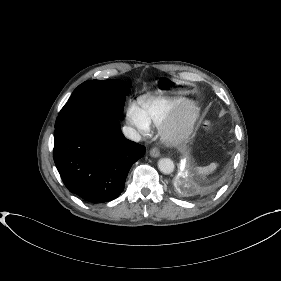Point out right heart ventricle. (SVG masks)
Wrapping results in <instances>:
<instances>
[{
    "instance_id": "right-heart-ventricle-1",
    "label": "right heart ventricle",
    "mask_w": 281,
    "mask_h": 281,
    "mask_svg": "<svg viewBox=\"0 0 281 281\" xmlns=\"http://www.w3.org/2000/svg\"><path fill=\"white\" fill-rule=\"evenodd\" d=\"M184 101L174 95H143L138 98L137 108L147 127L159 126Z\"/></svg>"
}]
</instances>
